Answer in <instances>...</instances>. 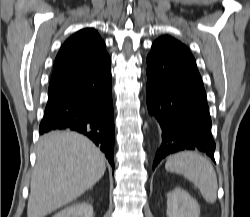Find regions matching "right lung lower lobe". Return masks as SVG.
<instances>
[{"label": "right lung lower lobe", "instance_id": "obj_1", "mask_svg": "<svg viewBox=\"0 0 250 217\" xmlns=\"http://www.w3.org/2000/svg\"><path fill=\"white\" fill-rule=\"evenodd\" d=\"M70 129L89 137L114 169V112L110 58L90 73L48 90L40 134Z\"/></svg>", "mask_w": 250, "mask_h": 217}]
</instances>
